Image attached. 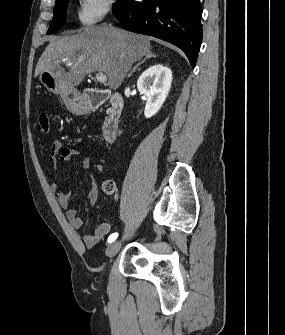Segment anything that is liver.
<instances>
[{"mask_svg":"<svg viewBox=\"0 0 285 335\" xmlns=\"http://www.w3.org/2000/svg\"><path fill=\"white\" fill-rule=\"evenodd\" d=\"M150 40L145 36L118 30L112 26L89 28L75 36L51 40L36 66L35 76L42 70L55 72L69 88L80 86L87 74H106L108 86L117 90L134 62L151 54ZM69 72L61 76L62 66Z\"/></svg>","mask_w":285,"mask_h":335,"instance_id":"6515ba94","label":"liver"}]
</instances>
